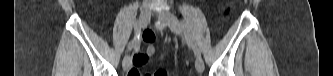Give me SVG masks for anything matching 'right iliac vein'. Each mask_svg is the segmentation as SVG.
<instances>
[{
	"mask_svg": "<svg viewBox=\"0 0 333 76\" xmlns=\"http://www.w3.org/2000/svg\"><path fill=\"white\" fill-rule=\"evenodd\" d=\"M150 10L147 6L143 7L140 12L139 20H138V27L144 28L150 21ZM123 69L126 71L130 68L131 66V59L128 55H126L123 59Z\"/></svg>",
	"mask_w": 333,
	"mask_h": 76,
	"instance_id": "63e3f726",
	"label": "right iliac vein"
}]
</instances>
